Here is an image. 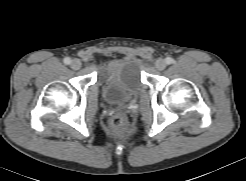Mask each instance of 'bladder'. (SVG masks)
Wrapping results in <instances>:
<instances>
[{"label":"bladder","instance_id":"1","mask_svg":"<svg viewBox=\"0 0 246 181\" xmlns=\"http://www.w3.org/2000/svg\"><path fill=\"white\" fill-rule=\"evenodd\" d=\"M108 102L125 100L141 86V74L137 63L129 60H114L107 63L99 73Z\"/></svg>","mask_w":246,"mask_h":181}]
</instances>
